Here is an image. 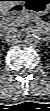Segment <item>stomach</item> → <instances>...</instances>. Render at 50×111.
I'll return each mask as SVG.
<instances>
[{
  "label": "stomach",
  "instance_id": "0dacf381",
  "mask_svg": "<svg viewBox=\"0 0 50 111\" xmlns=\"http://www.w3.org/2000/svg\"><path fill=\"white\" fill-rule=\"evenodd\" d=\"M22 4L25 10L38 16L46 15L50 11V0H24Z\"/></svg>",
  "mask_w": 50,
  "mask_h": 111
}]
</instances>
